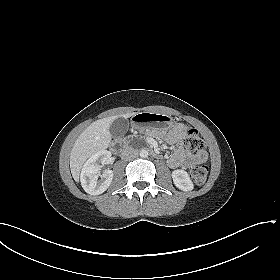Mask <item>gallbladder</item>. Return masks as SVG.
Listing matches in <instances>:
<instances>
[{
    "label": "gallbladder",
    "mask_w": 280,
    "mask_h": 280,
    "mask_svg": "<svg viewBox=\"0 0 280 280\" xmlns=\"http://www.w3.org/2000/svg\"><path fill=\"white\" fill-rule=\"evenodd\" d=\"M129 127V121L125 118L118 117L109 127V131L114 138L125 135Z\"/></svg>",
    "instance_id": "gallbladder-1"
}]
</instances>
